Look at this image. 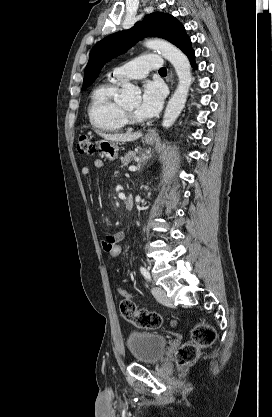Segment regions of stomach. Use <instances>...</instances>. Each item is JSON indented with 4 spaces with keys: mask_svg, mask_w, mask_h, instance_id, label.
I'll return each mask as SVG.
<instances>
[{
    "mask_svg": "<svg viewBox=\"0 0 272 417\" xmlns=\"http://www.w3.org/2000/svg\"><path fill=\"white\" fill-rule=\"evenodd\" d=\"M144 142L148 145H152L155 142V138L146 136ZM98 148L102 151L103 156L107 160L114 161L118 158V143L104 139L98 143Z\"/></svg>",
    "mask_w": 272,
    "mask_h": 417,
    "instance_id": "1",
    "label": "stomach"
}]
</instances>
